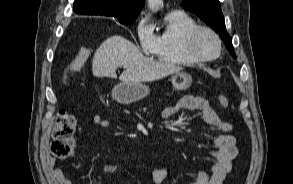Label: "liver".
<instances>
[{
  "label": "liver",
  "instance_id": "6515ba94",
  "mask_svg": "<svg viewBox=\"0 0 293 184\" xmlns=\"http://www.w3.org/2000/svg\"><path fill=\"white\" fill-rule=\"evenodd\" d=\"M118 67L125 68L119 77L122 82L155 81L182 69L175 64L145 57L131 41L114 35L96 50L92 60V72L96 77L116 79Z\"/></svg>",
  "mask_w": 293,
  "mask_h": 184
}]
</instances>
